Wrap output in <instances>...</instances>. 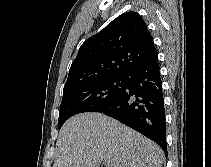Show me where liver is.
Masks as SVG:
<instances>
[{"label": "liver", "instance_id": "liver-1", "mask_svg": "<svg viewBox=\"0 0 211 167\" xmlns=\"http://www.w3.org/2000/svg\"><path fill=\"white\" fill-rule=\"evenodd\" d=\"M161 167L162 149L140 133L101 113H81L63 125L53 167Z\"/></svg>", "mask_w": 211, "mask_h": 167}]
</instances>
